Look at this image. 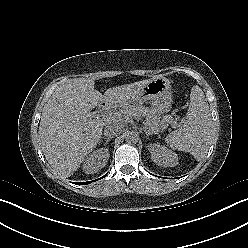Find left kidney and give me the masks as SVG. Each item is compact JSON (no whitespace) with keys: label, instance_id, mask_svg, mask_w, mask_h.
<instances>
[{"label":"left kidney","instance_id":"5707ae66","mask_svg":"<svg viewBox=\"0 0 248 248\" xmlns=\"http://www.w3.org/2000/svg\"><path fill=\"white\" fill-rule=\"evenodd\" d=\"M148 149L151 159L159 166L174 167L179 163L177 154L159 143L149 144Z\"/></svg>","mask_w":248,"mask_h":248}]
</instances>
